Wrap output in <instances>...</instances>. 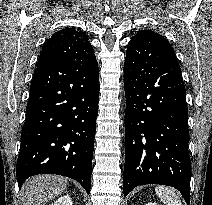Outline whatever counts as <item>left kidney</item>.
<instances>
[{"label":"left kidney","mask_w":212,"mask_h":205,"mask_svg":"<svg viewBox=\"0 0 212 205\" xmlns=\"http://www.w3.org/2000/svg\"><path fill=\"white\" fill-rule=\"evenodd\" d=\"M146 205H157V204H155V203H148V204H146Z\"/></svg>","instance_id":"5707ae66"}]
</instances>
